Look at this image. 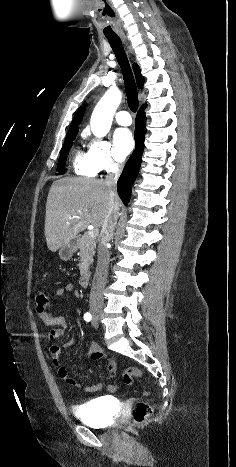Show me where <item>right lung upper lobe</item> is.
Wrapping results in <instances>:
<instances>
[{
    "label": "right lung upper lobe",
    "mask_w": 236,
    "mask_h": 467,
    "mask_svg": "<svg viewBox=\"0 0 236 467\" xmlns=\"http://www.w3.org/2000/svg\"><path fill=\"white\" fill-rule=\"evenodd\" d=\"M133 71H134V74H135V77H136L137 86H138V88L142 89L143 84H144V77L141 75L140 68H139V66L137 64H133ZM84 111H85L84 106H82L77 111V113H76V115H75V117H74V119L72 121V124H71V126L69 128L68 134H73V133L78 132V129H79L78 125L82 120Z\"/></svg>",
    "instance_id": "obj_1"
}]
</instances>
